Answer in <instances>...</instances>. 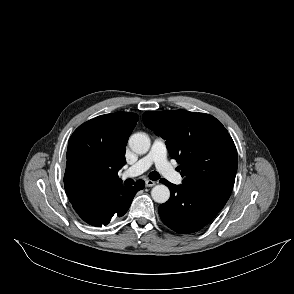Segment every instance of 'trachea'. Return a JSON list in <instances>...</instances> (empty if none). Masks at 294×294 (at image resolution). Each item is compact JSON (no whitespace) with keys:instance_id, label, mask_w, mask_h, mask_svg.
<instances>
[{"instance_id":"1","label":"trachea","mask_w":294,"mask_h":294,"mask_svg":"<svg viewBox=\"0 0 294 294\" xmlns=\"http://www.w3.org/2000/svg\"><path fill=\"white\" fill-rule=\"evenodd\" d=\"M149 178L151 180H158L160 178V175L158 172L156 171H153L149 174ZM125 185H133L134 184V180L132 179H127L125 182H124Z\"/></svg>"}]
</instances>
